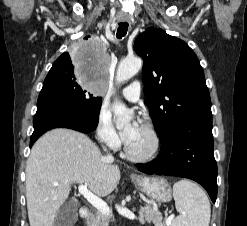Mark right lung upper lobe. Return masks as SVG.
Masks as SVG:
<instances>
[{"instance_id":"obj_1","label":"right lung upper lobe","mask_w":247,"mask_h":226,"mask_svg":"<svg viewBox=\"0 0 247 226\" xmlns=\"http://www.w3.org/2000/svg\"><path fill=\"white\" fill-rule=\"evenodd\" d=\"M90 37V35L86 36L85 39H88ZM69 57V54L67 52L63 53L53 64L52 67H54L55 65H57L58 63L67 60Z\"/></svg>"}]
</instances>
